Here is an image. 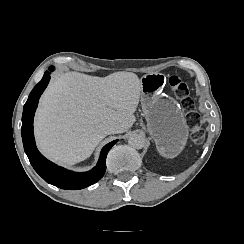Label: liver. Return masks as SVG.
Instances as JSON below:
<instances>
[{
    "label": "liver",
    "mask_w": 244,
    "mask_h": 244,
    "mask_svg": "<svg viewBox=\"0 0 244 244\" xmlns=\"http://www.w3.org/2000/svg\"><path fill=\"white\" fill-rule=\"evenodd\" d=\"M141 81L135 73L105 78L66 73L43 95L35 119L39 149L51 160L75 164L87 158L106 136L107 123L127 132L135 123Z\"/></svg>",
    "instance_id": "liver-1"
}]
</instances>
